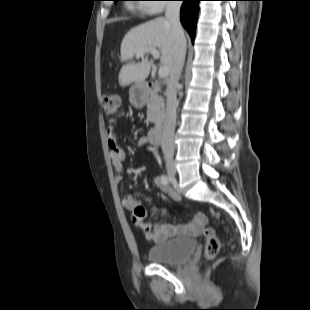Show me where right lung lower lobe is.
Instances as JSON below:
<instances>
[{"label": "right lung lower lobe", "instance_id": "98d812e1", "mask_svg": "<svg viewBox=\"0 0 310 310\" xmlns=\"http://www.w3.org/2000/svg\"><path fill=\"white\" fill-rule=\"evenodd\" d=\"M180 10V20L184 28L188 31L192 42L195 37V29L198 19L199 1L201 0H182Z\"/></svg>", "mask_w": 310, "mask_h": 310}]
</instances>
